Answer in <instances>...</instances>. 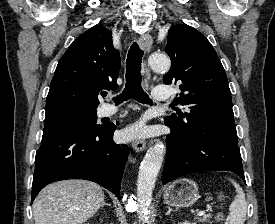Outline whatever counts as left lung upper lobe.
I'll list each match as a JSON object with an SVG mask.
<instances>
[{"label":"left lung upper lobe","instance_id":"obj_1","mask_svg":"<svg viewBox=\"0 0 275 224\" xmlns=\"http://www.w3.org/2000/svg\"><path fill=\"white\" fill-rule=\"evenodd\" d=\"M171 69L165 84H179L184 93L176 99L187 111L165 117L175 128L186 131L208 125L236 132L227 76L207 38L187 24L171 27L165 48Z\"/></svg>","mask_w":275,"mask_h":224}]
</instances>
